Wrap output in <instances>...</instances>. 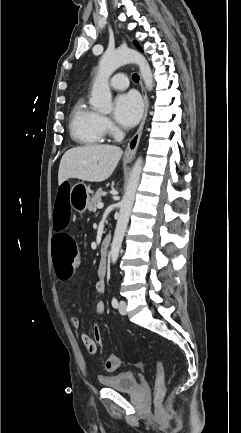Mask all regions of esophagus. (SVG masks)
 Here are the masks:
<instances>
[{"label":"esophagus","instance_id":"1","mask_svg":"<svg viewBox=\"0 0 241 433\" xmlns=\"http://www.w3.org/2000/svg\"><path fill=\"white\" fill-rule=\"evenodd\" d=\"M140 86H141V92L144 101V112L138 130L135 133V135L130 139L127 148L125 150L124 158L126 160L132 159L136 153L137 147L139 145L140 137L143 131V127L147 118V113H148V98L141 78H140Z\"/></svg>","mask_w":241,"mask_h":433}]
</instances>
